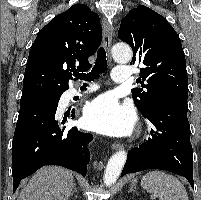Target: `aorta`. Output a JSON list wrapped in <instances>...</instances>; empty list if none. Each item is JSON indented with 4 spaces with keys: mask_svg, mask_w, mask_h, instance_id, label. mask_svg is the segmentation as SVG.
I'll return each instance as SVG.
<instances>
[{
    "mask_svg": "<svg viewBox=\"0 0 201 200\" xmlns=\"http://www.w3.org/2000/svg\"><path fill=\"white\" fill-rule=\"evenodd\" d=\"M112 56L118 62L127 63L132 59V50L128 45L118 43L112 48ZM126 159L127 153L124 150L117 151L111 156L104 172V184L106 186H111L116 182L123 169Z\"/></svg>",
    "mask_w": 201,
    "mask_h": 200,
    "instance_id": "obj_1",
    "label": "aorta"
}]
</instances>
